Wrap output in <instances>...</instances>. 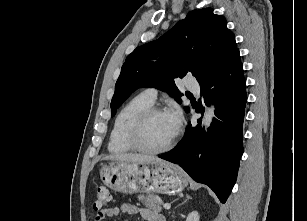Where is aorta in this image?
<instances>
[{"mask_svg":"<svg viewBox=\"0 0 307 221\" xmlns=\"http://www.w3.org/2000/svg\"><path fill=\"white\" fill-rule=\"evenodd\" d=\"M214 111H215L214 105H211L206 110L203 121H202V126L205 127V129H207L211 125L212 119L214 117Z\"/></svg>","mask_w":307,"mask_h":221,"instance_id":"762f6f07","label":"aorta"}]
</instances>
